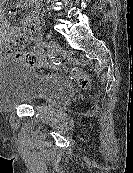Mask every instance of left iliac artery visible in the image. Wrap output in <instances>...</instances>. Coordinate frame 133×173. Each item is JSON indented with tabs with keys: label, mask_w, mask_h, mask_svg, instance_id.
Segmentation results:
<instances>
[{
	"label": "left iliac artery",
	"mask_w": 133,
	"mask_h": 173,
	"mask_svg": "<svg viewBox=\"0 0 133 173\" xmlns=\"http://www.w3.org/2000/svg\"><path fill=\"white\" fill-rule=\"evenodd\" d=\"M40 46H41V47H46V46H47V44H46V42H45V41H41V42H40Z\"/></svg>",
	"instance_id": "obj_1"
}]
</instances>
